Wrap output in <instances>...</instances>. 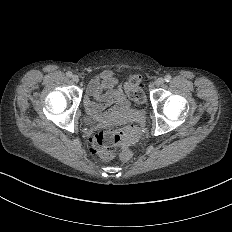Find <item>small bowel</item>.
Returning <instances> with one entry per match:
<instances>
[{"label": "small bowel", "instance_id": "small-bowel-1", "mask_svg": "<svg viewBox=\"0 0 232 232\" xmlns=\"http://www.w3.org/2000/svg\"><path fill=\"white\" fill-rule=\"evenodd\" d=\"M103 86H108L110 88L106 94H102L101 92ZM101 100H107L109 103V108L104 118L121 110L126 105V100L119 90L118 80L109 69L98 71L89 82L85 97V107L90 119L98 120L102 118L98 113V102Z\"/></svg>", "mask_w": 232, "mask_h": 232}]
</instances>
